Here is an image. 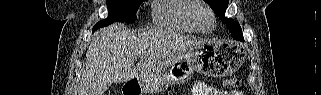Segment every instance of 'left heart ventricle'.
Wrapping results in <instances>:
<instances>
[{"mask_svg":"<svg viewBox=\"0 0 321 95\" xmlns=\"http://www.w3.org/2000/svg\"><path fill=\"white\" fill-rule=\"evenodd\" d=\"M198 19L203 27L209 28L211 26V21L206 11H199Z\"/></svg>","mask_w":321,"mask_h":95,"instance_id":"1","label":"left heart ventricle"}]
</instances>
